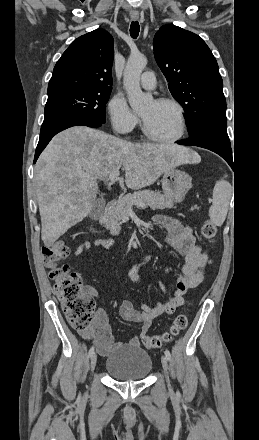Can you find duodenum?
I'll return each mask as SVG.
<instances>
[{
	"mask_svg": "<svg viewBox=\"0 0 259 440\" xmlns=\"http://www.w3.org/2000/svg\"><path fill=\"white\" fill-rule=\"evenodd\" d=\"M114 204H115V201H114V200L109 201V202L106 204V206H105V208H104V210H103V215H106V214L111 210V208L113 207ZM89 230L91 231V233H92L93 235L97 236L98 238H102V237L100 236L99 230H98V228H97V226H96V222L91 221V222L89 223Z\"/></svg>",
	"mask_w": 259,
	"mask_h": 440,
	"instance_id": "obj_1",
	"label": "duodenum"
}]
</instances>
